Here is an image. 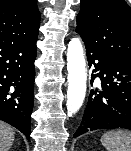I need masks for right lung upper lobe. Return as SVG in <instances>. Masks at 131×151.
<instances>
[{"instance_id": "obj_1", "label": "right lung upper lobe", "mask_w": 131, "mask_h": 151, "mask_svg": "<svg viewBox=\"0 0 131 151\" xmlns=\"http://www.w3.org/2000/svg\"><path fill=\"white\" fill-rule=\"evenodd\" d=\"M37 0H0V43H13L38 36L40 12Z\"/></svg>"}]
</instances>
